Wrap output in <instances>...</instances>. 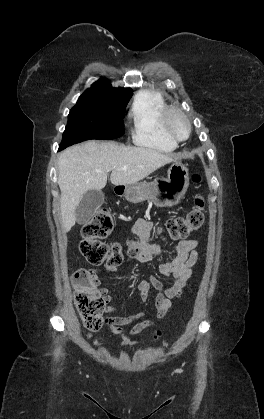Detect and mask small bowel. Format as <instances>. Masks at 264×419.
Wrapping results in <instances>:
<instances>
[{
  "mask_svg": "<svg viewBox=\"0 0 264 419\" xmlns=\"http://www.w3.org/2000/svg\"><path fill=\"white\" fill-rule=\"evenodd\" d=\"M152 227V222L147 219H139L132 227V234L140 241L142 247L141 253L137 256V260L143 263L152 261L158 254L157 251L144 244ZM198 245L199 240L197 239L181 240L174 248V257L172 260L159 264L158 268L160 273L166 277L172 278V282L167 288H164L161 281L155 276H150L148 280H142L137 284V290L143 301L148 299L152 290L158 292L155 298V308L157 312L156 320H162L170 309L172 301L180 298L183 294L185 285L193 274L192 267L199 258L197 251ZM107 268L110 271L116 270V268H110L108 266ZM86 272L95 281L99 292L105 300L110 302L112 297L109 294V290L107 288H99L100 269L91 268ZM107 312L111 314V316L106 318L105 323L111 332L119 334L122 337L123 346L133 345L134 343L130 340V336L152 327L156 322L153 319H145L136 323L129 332H126L123 327L141 319L144 317L145 313L140 311L131 315L119 316L116 315L117 308L114 306H109ZM160 335L161 331L157 330L154 333V339L156 340ZM88 337H91V334H89Z\"/></svg>",
  "mask_w": 264,
  "mask_h": 419,
  "instance_id": "1",
  "label": "small bowel"
}]
</instances>
